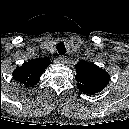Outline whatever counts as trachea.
<instances>
[{"instance_id":"3493384b","label":"trachea","mask_w":129,"mask_h":129,"mask_svg":"<svg viewBox=\"0 0 129 129\" xmlns=\"http://www.w3.org/2000/svg\"><path fill=\"white\" fill-rule=\"evenodd\" d=\"M57 51L61 55L65 54L66 48H65V45L62 42L57 44Z\"/></svg>"}]
</instances>
